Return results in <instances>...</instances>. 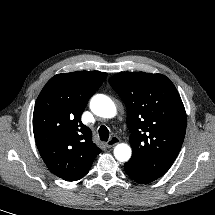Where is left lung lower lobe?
Instances as JSON below:
<instances>
[{
	"mask_svg": "<svg viewBox=\"0 0 215 215\" xmlns=\"http://www.w3.org/2000/svg\"><path fill=\"white\" fill-rule=\"evenodd\" d=\"M124 169L130 178H132L133 180L140 182V183H150L158 178V177L146 175V174L128 166L127 164L124 165Z\"/></svg>",
	"mask_w": 215,
	"mask_h": 215,
	"instance_id": "obj_1",
	"label": "left lung lower lobe"
}]
</instances>
